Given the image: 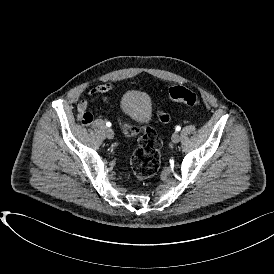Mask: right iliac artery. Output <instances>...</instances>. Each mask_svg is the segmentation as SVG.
Here are the masks:
<instances>
[{
    "label": "right iliac artery",
    "mask_w": 274,
    "mask_h": 274,
    "mask_svg": "<svg viewBox=\"0 0 274 274\" xmlns=\"http://www.w3.org/2000/svg\"><path fill=\"white\" fill-rule=\"evenodd\" d=\"M106 126H107V127H110V126H111V123H110V122H107V123H106Z\"/></svg>",
    "instance_id": "obj_1"
}]
</instances>
